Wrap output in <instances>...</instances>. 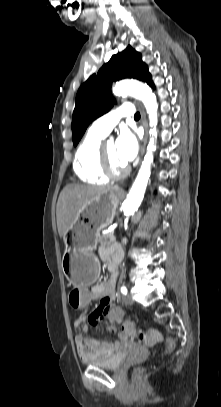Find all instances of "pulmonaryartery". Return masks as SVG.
<instances>
[{
    "label": "pulmonary artery",
    "instance_id": "obj_1",
    "mask_svg": "<svg viewBox=\"0 0 221 407\" xmlns=\"http://www.w3.org/2000/svg\"><path fill=\"white\" fill-rule=\"evenodd\" d=\"M135 114V108L131 103H124L118 108L96 119L90 130L106 136L119 122L122 117H130Z\"/></svg>",
    "mask_w": 221,
    "mask_h": 407
}]
</instances>
